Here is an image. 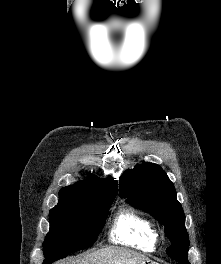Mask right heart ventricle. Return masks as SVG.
<instances>
[{
    "instance_id": "right-heart-ventricle-1",
    "label": "right heart ventricle",
    "mask_w": 221,
    "mask_h": 264,
    "mask_svg": "<svg viewBox=\"0 0 221 264\" xmlns=\"http://www.w3.org/2000/svg\"><path fill=\"white\" fill-rule=\"evenodd\" d=\"M110 241L142 251H153L158 234L153 223L132 209L120 210L109 231Z\"/></svg>"
}]
</instances>
